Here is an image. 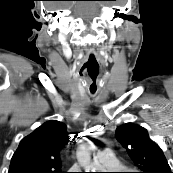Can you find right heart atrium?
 <instances>
[{"instance_id": "obj_1", "label": "right heart atrium", "mask_w": 173, "mask_h": 173, "mask_svg": "<svg viewBox=\"0 0 173 173\" xmlns=\"http://www.w3.org/2000/svg\"><path fill=\"white\" fill-rule=\"evenodd\" d=\"M71 169H73V170H77V169H79L77 166H74V167H72ZM72 173H80L79 171H74V172H72Z\"/></svg>"}]
</instances>
